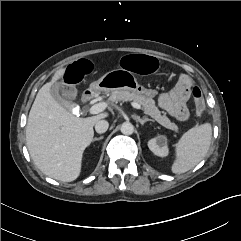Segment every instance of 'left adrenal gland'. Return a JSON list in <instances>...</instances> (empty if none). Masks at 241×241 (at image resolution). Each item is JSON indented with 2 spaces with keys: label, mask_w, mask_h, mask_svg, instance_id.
I'll use <instances>...</instances> for the list:
<instances>
[{
  "label": "left adrenal gland",
  "mask_w": 241,
  "mask_h": 241,
  "mask_svg": "<svg viewBox=\"0 0 241 241\" xmlns=\"http://www.w3.org/2000/svg\"><path fill=\"white\" fill-rule=\"evenodd\" d=\"M137 121H139L141 125H144V123H146L147 121H152L153 122L154 120L149 119L147 117L140 118V116H137Z\"/></svg>",
  "instance_id": "obj_1"
}]
</instances>
